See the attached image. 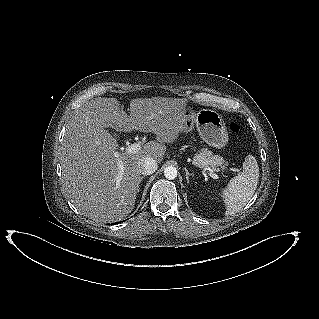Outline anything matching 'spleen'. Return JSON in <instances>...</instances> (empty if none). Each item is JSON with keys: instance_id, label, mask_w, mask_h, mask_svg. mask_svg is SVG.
<instances>
[{"instance_id": "obj_1", "label": "spleen", "mask_w": 319, "mask_h": 319, "mask_svg": "<svg viewBox=\"0 0 319 319\" xmlns=\"http://www.w3.org/2000/svg\"><path fill=\"white\" fill-rule=\"evenodd\" d=\"M259 182V167L254 156L248 155L243 163V172L230 180L221 192L226 205V215L240 211L252 198Z\"/></svg>"}]
</instances>
